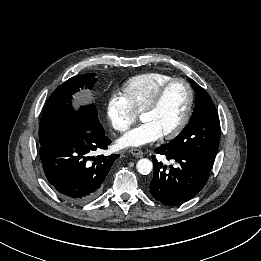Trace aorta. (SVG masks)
Instances as JSON below:
<instances>
[{
	"instance_id": "1",
	"label": "aorta",
	"mask_w": 261,
	"mask_h": 261,
	"mask_svg": "<svg viewBox=\"0 0 261 261\" xmlns=\"http://www.w3.org/2000/svg\"><path fill=\"white\" fill-rule=\"evenodd\" d=\"M137 170L142 175L149 174L153 169V164L149 159L143 158L137 162Z\"/></svg>"
}]
</instances>
